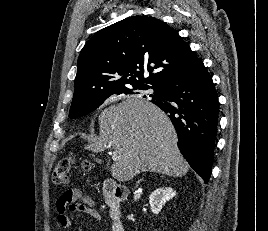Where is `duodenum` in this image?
Here are the masks:
<instances>
[{
	"instance_id": "410a0bca",
	"label": "duodenum",
	"mask_w": 268,
	"mask_h": 231,
	"mask_svg": "<svg viewBox=\"0 0 268 231\" xmlns=\"http://www.w3.org/2000/svg\"><path fill=\"white\" fill-rule=\"evenodd\" d=\"M106 203L110 209V217L114 221V231H124L122 225L121 200L126 197V192L121 190L114 182L105 181L102 188Z\"/></svg>"
}]
</instances>
